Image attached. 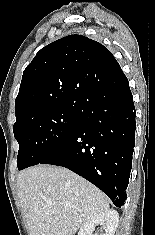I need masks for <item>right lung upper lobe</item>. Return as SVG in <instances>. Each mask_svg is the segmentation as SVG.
<instances>
[{
	"label": "right lung upper lobe",
	"instance_id": "cb5924a9",
	"mask_svg": "<svg viewBox=\"0 0 155 235\" xmlns=\"http://www.w3.org/2000/svg\"><path fill=\"white\" fill-rule=\"evenodd\" d=\"M120 73L113 54L99 42L82 35L63 37L42 48L24 70L16 117L42 106L78 107L95 86Z\"/></svg>",
	"mask_w": 155,
	"mask_h": 235
}]
</instances>
